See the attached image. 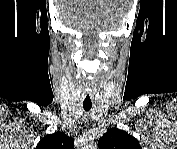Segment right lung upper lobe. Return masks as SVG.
I'll use <instances>...</instances> for the list:
<instances>
[{
  "mask_svg": "<svg viewBox=\"0 0 177 149\" xmlns=\"http://www.w3.org/2000/svg\"><path fill=\"white\" fill-rule=\"evenodd\" d=\"M37 149H74V139L58 131L41 139Z\"/></svg>",
  "mask_w": 177,
  "mask_h": 149,
  "instance_id": "obj_1",
  "label": "right lung upper lobe"
}]
</instances>
